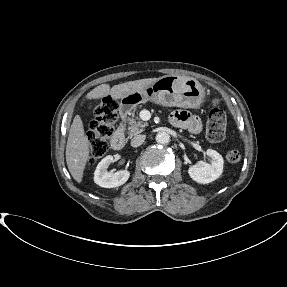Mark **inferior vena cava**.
<instances>
[{
    "mask_svg": "<svg viewBox=\"0 0 287 287\" xmlns=\"http://www.w3.org/2000/svg\"><path fill=\"white\" fill-rule=\"evenodd\" d=\"M146 136L145 135H136L131 139V146L132 147H138L143 144L145 141Z\"/></svg>",
    "mask_w": 287,
    "mask_h": 287,
    "instance_id": "602c4592",
    "label": "inferior vena cava"
}]
</instances>
